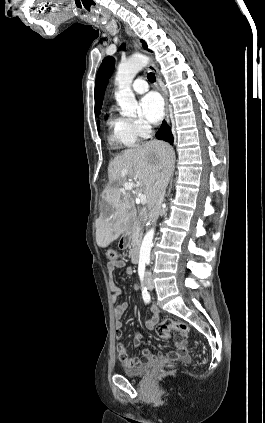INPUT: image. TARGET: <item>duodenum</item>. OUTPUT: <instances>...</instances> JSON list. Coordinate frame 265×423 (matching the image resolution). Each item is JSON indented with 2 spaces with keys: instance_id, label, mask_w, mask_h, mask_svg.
<instances>
[{
  "instance_id": "410a0bca",
  "label": "duodenum",
  "mask_w": 265,
  "mask_h": 423,
  "mask_svg": "<svg viewBox=\"0 0 265 423\" xmlns=\"http://www.w3.org/2000/svg\"><path fill=\"white\" fill-rule=\"evenodd\" d=\"M131 259L133 261V263H138L139 262V244L136 241L132 242V247H131Z\"/></svg>"
}]
</instances>
